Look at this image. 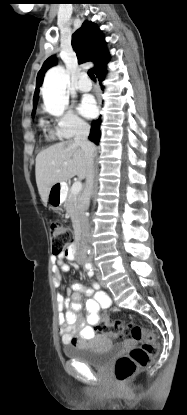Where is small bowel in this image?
I'll return each mask as SVG.
<instances>
[{
  "label": "small bowel",
  "instance_id": "small-bowel-1",
  "mask_svg": "<svg viewBox=\"0 0 187 415\" xmlns=\"http://www.w3.org/2000/svg\"><path fill=\"white\" fill-rule=\"evenodd\" d=\"M66 254L53 257L54 281L61 282L60 272H68L69 265L65 262ZM94 287V286H93ZM82 294L90 298L86 301V320L80 315ZM69 298L59 294L57 306L59 310L58 323L62 343L78 345L92 351H101L110 345L109 336L95 332V325L100 320V309L110 305L109 296L96 288H88L81 283H73L68 290Z\"/></svg>",
  "mask_w": 187,
  "mask_h": 415
}]
</instances>
